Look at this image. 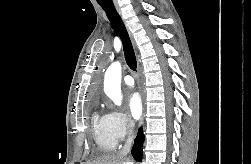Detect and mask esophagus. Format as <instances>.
<instances>
[{"label": "esophagus", "mask_w": 251, "mask_h": 164, "mask_svg": "<svg viewBox=\"0 0 251 164\" xmlns=\"http://www.w3.org/2000/svg\"><path fill=\"white\" fill-rule=\"evenodd\" d=\"M114 1H115V2H114L115 8H116L118 14L122 17L121 9H120L118 3L116 2V0H114ZM137 71H138V76H140L141 67H140V64H139V63H138V70H137ZM141 98H142V102H143V112H144L145 106H144V94H143V92H141ZM143 117H144V113H143V116H142V118H141V122L143 121Z\"/></svg>", "instance_id": "esophagus-1"}]
</instances>
